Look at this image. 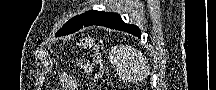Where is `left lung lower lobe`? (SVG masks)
Here are the masks:
<instances>
[{
	"instance_id": "left-lung-lower-lobe-1",
	"label": "left lung lower lobe",
	"mask_w": 216,
	"mask_h": 90,
	"mask_svg": "<svg viewBox=\"0 0 216 90\" xmlns=\"http://www.w3.org/2000/svg\"><path fill=\"white\" fill-rule=\"evenodd\" d=\"M93 25L106 26L111 29H117V30L131 33L138 37L141 36V31L139 30L137 26L124 23L120 15L114 14V13H110L108 16L97 21Z\"/></svg>"
}]
</instances>
